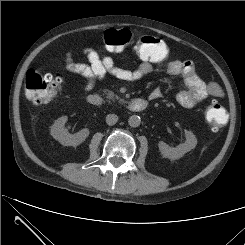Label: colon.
Segmentation results:
<instances>
[{
	"label": "colon",
	"mask_w": 245,
	"mask_h": 245,
	"mask_svg": "<svg viewBox=\"0 0 245 245\" xmlns=\"http://www.w3.org/2000/svg\"><path fill=\"white\" fill-rule=\"evenodd\" d=\"M104 44L111 50L121 51L134 46L138 57L149 63H161L169 57L167 45L159 38L142 35L135 36L128 29H110L103 34ZM62 78L50 73L41 74L29 69L25 76L26 93L35 104H48L61 88ZM205 119L209 128L216 132L227 120L225 107L217 101L210 102L205 109Z\"/></svg>",
	"instance_id": "1"
}]
</instances>
